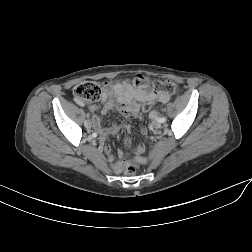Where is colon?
Returning <instances> with one entry per match:
<instances>
[{"mask_svg": "<svg viewBox=\"0 0 252 252\" xmlns=\"http://www.w3.org/2000/svg\"><path fill=\"white\" fill-rule=\"evenodd\" d=\"M133 84L135 87L140 89H150L154 93H165V94H174L178 91V86L174 81L171 80H156L150 85L149 78L144 75H137ZM73 93L75 97L82 101H98L102 98L103 93L101 87L94 82H83L77 85ZM151 105H146L145 111L151 109ZM125 173L127 175H134L136 173V166L132 163H129L125 166Z\"/></svg>", "mask_w": 252, "mask_h": 252, "instance_id": "colon-1", "label": "colon"}]
</instances>
